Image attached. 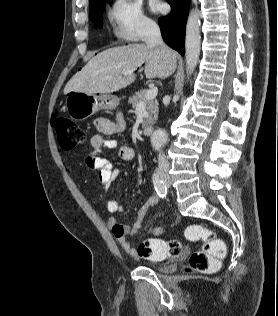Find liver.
I'll return each instance as SVG.
<instances>
[{
  "instance_id": "liver-1",
  "label": "liver",
  "mask_w": 278,
  "mask_h": 316,
  "mask_svg": "<svg viewBox=\"0 0 278 316\" xmlns=\"http://www.w3.org/2000/svg\"><path fill=\"white\" fill-rule=\"evenodd\" d=\"M145 64L146 78L165 79L176 69V55L168 47L130 44L107 49L93 57L81 71L66 84L64 94L82 92L86 94L112 93L132 84L135 74L124 75ZM111 76V79H106Z\"/></svg>"
}]
</instances>
